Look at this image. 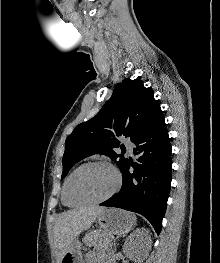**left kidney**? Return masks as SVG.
Returning a JSON list of instances; mask_svg holds the SVG:
<instances>
[{
	"label": "left kidney",
	"mask_w": 220,
	"mask_h": 263,
	"mask_svg": "<svg viewBox=\"0 0 220 263\" xmlns=\"http://www.w3.org/2000/svg\"><path fill=\"white\" fill-rule=\"evenodd\" d=\"M152 246L150 232L147 228H138L126 238L123 253L131 260L141 263Z\"/></svg>",
	"instance_id": "obj_1"
}]
</instances>
